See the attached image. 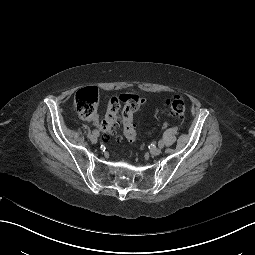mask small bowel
<instances>
[{"instance_id":"obj_1","label":"small bowel","mask_w":255,"mask_h":255,"mask_svg":"<svg viewBox=\"0 0 255 255\" xmlns=\"http://www.w3.org/2000/svg\"><path fill=\"white\" fill-rule=\"evenodd\" d=\"M93 123L95 124V125H99V121H98V119L97 118H95L94 120H93Z\"/></svg>"}]
</instances>
